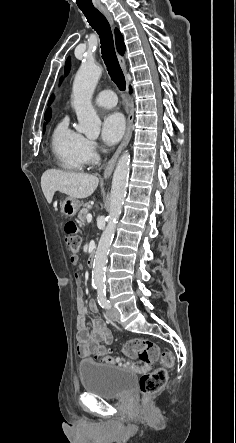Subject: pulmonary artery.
Segmentation results:
<instances>
[{"instance_id":"1","label":"pulmonary artery","mask_w":236,"mask_h":443,"mask_svg":"<svg viewBox=\"0 0 236 443\" xmlns=\"http://www.w3.org/2000/svg\"><path fill=\"white\" fill-rule=\"evenodd\" d=\"M95 103L101 107L112 108L117 104L116 94L111 90H103L95 97Z\"/></svg>"}]
</instances>
